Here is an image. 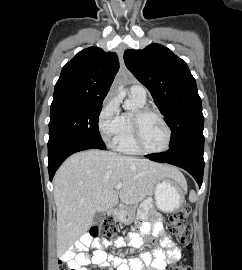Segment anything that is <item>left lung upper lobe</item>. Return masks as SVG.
Listing matches in <instances>:
<instances>
[{"label": "left lung upper lobe", "instance_id": "obj_1", "mask_svg": "<svg viewBox=\"0 0 242 270\" xmlns=\"http://www.w3.org/2000/svg\"><path fill=\"white\" fill-rule=\"evenodd\" d=\"M124 61L150 91L171 129L170 149L203 138L204 117L196 81L186 62L159 44L143 50H127Z\"/></svg>", "mask_w": 242, "mask_h": 270}]
</instances>
